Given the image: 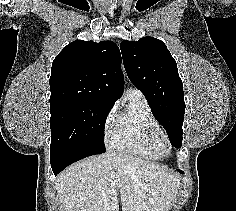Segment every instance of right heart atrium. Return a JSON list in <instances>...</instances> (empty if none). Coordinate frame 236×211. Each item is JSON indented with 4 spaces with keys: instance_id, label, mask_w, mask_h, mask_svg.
Returning <instances> with one entry per match:
<instances>
[{
    "instance_id": "obj_1",
    "label": "right heart atrium",
    "mask_w": 236,
    "mask_h": 211,
    "mask_svg": "<svg viewBox=\"0 0 236 211\" xmlns=\"http://www.w3.org/2000/svg\"><path fill=\"white\" fill-rule=\"evenodd\" d=\"M117 119L116 107L113 106L105 115L102 124L103 138L108 143L113 135Z\"/></svg>"
}]
</instances>
